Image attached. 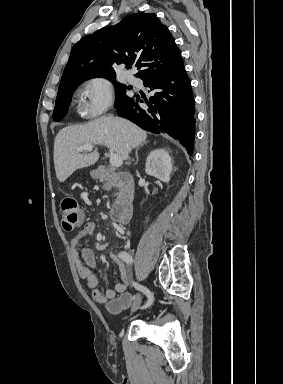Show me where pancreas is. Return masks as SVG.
Here are the masks:
<instances>
[{
	"label": "pancreas",
	"instance_id": "pancreas-1",
	"mask_svg": "<svg viewBox=\"0 0 283 384\" xmlns=\"http://www.w3.org/2000/svg\"><path fill=\"white\" fill-rule=\"evenodd\" d=\"M114 176H115L114 170H107L106 180H110V178H114ZM101 182H104V180H101ZM114 196H119V194H114Z\"/></svg>",
	"mask_w": 283,
	"mask_h": 384
}]
</instances>
